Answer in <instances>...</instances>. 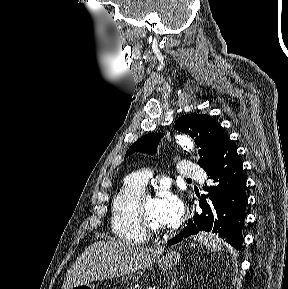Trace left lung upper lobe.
Returning a JSON list of instances; mask_svg holds the SVG:
<instances>
[{
  "label": "left lung upper lobe",
  "instance_id": "1",
  "mask_svg": "<svg viewBox=\"0 0 288 289\" xmlns=\"http://www.w3.org/2000/svg\"><path fill=\"white\" fill-rule=\"evenodd\" d=\"M175 129L189 134L200 150L201 156L198 164L207 168L218 156L220 149L229 138L222 127L210 116L205 114H188L182 116L175 124ZM163 134H148L137 140L127 151L126 157L134 152H144L152 154L155 151Z\"/></svg>",
  "mask_w": 288,
  "mask_h": 289
}]
</instances>
